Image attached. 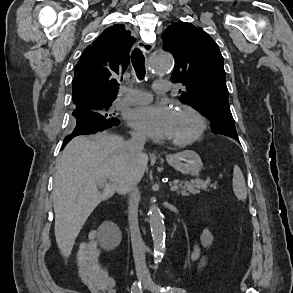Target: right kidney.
Segmentation results:
<instances>
[{
    "mask_svg": "<svg viewBox=\"0 0 293 293\" xmlns=\"http://www.w3.org/2000/svg\"><path fill=\"white\" fill-rule=\"evenodd\" d=\"M121 239L122 237L119 229L109 224L106 226V233L102 240V246L107 250H112L120 244Z\"/></svg>",
    "mask_w": 293,
    "mask_h": 293,
    "instance_id": "obj_1",
    "label": "right kidney"
}]
</instances>
